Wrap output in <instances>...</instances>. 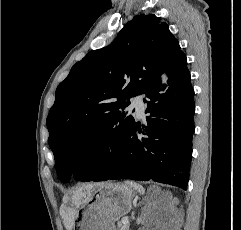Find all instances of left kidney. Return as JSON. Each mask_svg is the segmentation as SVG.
Masks as SVG:
<instances>
[{"label":"left kidney","instance_id":"left-kidney-1","mask_svg":"<svg viewBox=\"0 0 241 230\" xmlns=\"http://www.w3.org/2000/svg\"><path fill=\"white\" fill-rule=\"evenodd\" d=\"M155 220H156V217L150 215L149 213H145L144 221H143L144 227H142L139 230H153V229H151V226Z\"/></svg>","mask_w":241,"mask_h":230}]
</instances>
